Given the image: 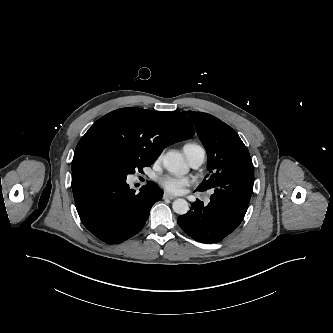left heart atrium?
Listing matches in <instances>:
<instances>
[{"mask_svg": "<svg viewBox=\"0 0 333 333\" xmlns=\"http://www.w3.org/2000/svg\"><path fill=\"white\" fill-rule=\"evenodd\" d=\"M160 185L172 194H181L189 185L190 181L185 177L175 175H165L159 179Z\"/></svg>", "mask_w": 333, "mask_h": 333, "instance_id": "obj_1", "label": "left heart atrium"}]
</instances>
